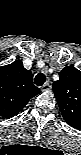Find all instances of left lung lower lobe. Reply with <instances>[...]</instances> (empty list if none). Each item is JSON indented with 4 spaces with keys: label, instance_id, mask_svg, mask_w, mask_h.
Returning <instances> with one entry per match:
<instances>
[{
    "label": "left lung lower lobe",
    "instance_id": "1",
    "mask_svg": "<svg viewBox=\"0 0 81 155\" xmlns=\"http://www.w3.org/2000/svg\"><path fill=\"white\" fill-rule=\"evenodd\" d=\"M70 126H72V127H74V128H80L81 126H79V125H76V124H73V123H71V124H69Z\"/></svg>",
    "mask_w": 81,
    "mask_h": 155
}]
</instances>
